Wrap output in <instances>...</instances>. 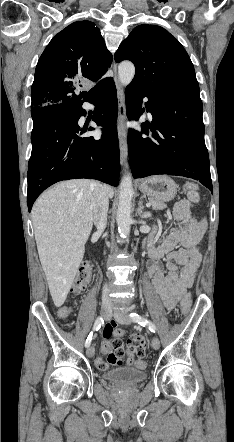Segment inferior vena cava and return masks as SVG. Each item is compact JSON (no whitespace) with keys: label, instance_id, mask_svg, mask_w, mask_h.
<instances>
[{"label":"inferior vena cava","instance_id":"inferior-vena-cava-1","mask_svg":"<svg viewBox=\"0 0 234 442\" xmlns=\"http://www.w3.org/2000/svg\"><path fill=\"white\" fill-rule=\"evenodd\" d=\"M91 208L93 213V221L97 228V232L102 233L107 224V212L109 207V199L104 186L98 181L91 182ZM109 289L105 285L103 287V299L109 300Z\"/></svg>","mask_w":234,"mask_h":442}]
</instances>
